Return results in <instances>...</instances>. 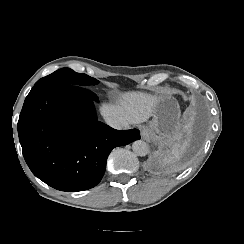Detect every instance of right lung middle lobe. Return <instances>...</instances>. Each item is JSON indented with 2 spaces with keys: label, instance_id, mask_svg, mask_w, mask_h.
I'll return each mask as SVG.
<instances>
[{
  "label": "right lung middle lobe",
  "instance_id": "obj_1",
  "mask_svg": "<svg viewBox=\"0 0 244 244\" xmlns=\"http://www.w3.org/2000/svg\"><path fill=\"white\" fill-rule=\"evenodd\" d=\"M98 81L86 74L76 73L70 68H62L38 80L34 87L44 84H70L87 87L97 84Z\"/></svg>",
  "mask_w": 244,
  "mask_h": 244
}]
</instances>
